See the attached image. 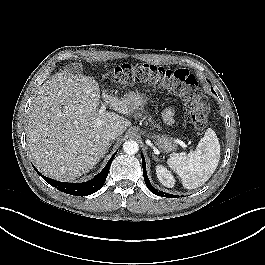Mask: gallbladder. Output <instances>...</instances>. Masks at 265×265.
Wrapping results in <instances>:
<instances>
[{"instance_id":"gallbladder-1","label":"gallbladder","mask_w":265,"mask_h":265,"mask_svg":"<svg viewBox=\"0 0 265 265\" xmlns=\"http://www.w3.org/2000/svg\"><path fill=\"white\" fill-rule=\"evenodd\" d=\"M68 70H70L72 73H80L81 72V67L74 66V67H71Z\"/></svg>"}]
</instances>
